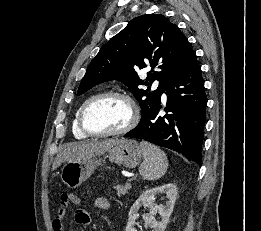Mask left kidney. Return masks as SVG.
Returning <instances> with one entry per match:
<instances>
[{"label": "left kidney", "instance_id": "obj_1", "mask_svg": "<svg viewBox=\"0 0 261 231\" xmlns=\"http://www.w3.org/2000/svg\"><path fill=\"white\" fill-rule=\"evenodd\" d=\"M165 193L167 201L165 205L155 204V196ZM177 197V188L174 184H165L156 188H152L143 192L140 197L135 201L129 211V218L125 231H136L135 223L139 217L140 207L146 206L150 208V212L143 215L146 228H151L152 231H164L169 217L173 211L174 204ZM160 214L161 221L155 219L156 214Z\"/></svg>", "mask_w": 261, "mask_h": 231}]
</instances>
